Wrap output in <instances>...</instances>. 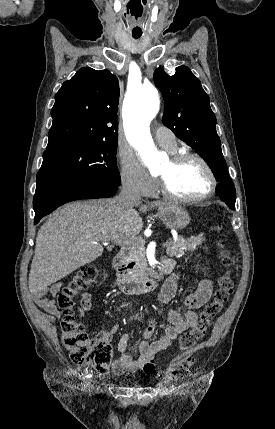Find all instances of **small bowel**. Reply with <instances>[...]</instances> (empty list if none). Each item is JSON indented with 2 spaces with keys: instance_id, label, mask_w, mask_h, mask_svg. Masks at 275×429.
Wrapping results in <instances>:
<instances>
[{
  "instance_id": "obj_1",
  "label": "small bowel",
  "mask_w": 275,
  "mask_h": 429,
  "mask_svg": "<svg viewBox=\"0 0 275 429\" xmlns=\"http://www.w3.org/2000/svg\"><path fill=\"white\" fill-rule=\"evenodd\" d=\"M173 268L174 262L168 261ZM178 274L173 273L162 287L158 299L162 304H168L175 296L177 289ZM60 289L59 284H53L49 288H39L32 292L35 303L48 313L59 316L60 311L55 305L53 297ZM213 290L212 281L209 278L202 279L195 288L184 299V313L169 309L167 320L169 325L165 328L163 335L154 341H149L156 326L157 317H151L143 329V340L137 346V357L129 354L130 337L125 333L119 339L117 349L119 357L114 361L112 369L115 374L136 373L144 370L149 364H153L154 356L167 349L172 342L185 330L193 327L197 322L196 310L202 307L211 297ZM91 310V295L83 293L80 299L79 312L84 316ZM119 330L118 325H112L107 332L100 333L108 339Z\"/></svg>"
}]
</instances>
